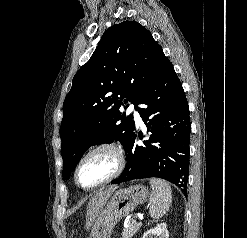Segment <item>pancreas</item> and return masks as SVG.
Segmentation results:
<instances>
[{"label": "pancreas", "instance_id": "1", "mask_svg": "<svg viewBox=\"0 0 247 238\" xmlns=\"http://www.w3.org/2000/svg\"><path fill=\"white\" fill-rule=\"evenodd\" d=\"M141 226H142V223H138L135 220H131L127 224V227H124L123 232H122V237L131 238L133 235L136 234V232L140 229Z\"/></svg>", "mask_w": 247, "mask_h": 238}]
</instances>
